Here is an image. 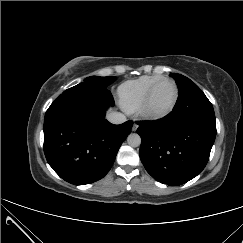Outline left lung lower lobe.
<instances>
[{
    "instance_id": "1",
    "label": "left lung lower lobe",
    "mask_w": 243,
    "mask_h": 243,
    "mask_svg": "<svg viewBox=\"0 0 243 243\" xmlns=\"http://www.w3.org/2000/svg\"><path fill=\"white\" fill-rule=\"evenodd\" d=\"M178 102L162 119L137 122L145 169L155 180L170 186L184 184L204 169L216 137L215 119L184 117Z\"/></svg>"
}]
</instances>
